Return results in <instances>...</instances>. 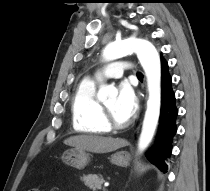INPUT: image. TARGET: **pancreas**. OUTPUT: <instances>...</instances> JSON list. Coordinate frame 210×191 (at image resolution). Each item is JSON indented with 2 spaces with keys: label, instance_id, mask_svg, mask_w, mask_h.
Segmentation results:
<instances>
[{
  "label": "pancreas",
  "instance_id": "1",
  "mask_svg": "<svg viewBox=\"0 0 210 191\" xmlns=\"http://www.w3.org/2000/svg\"><path fill=\"white\" fill-rule=\"evenodd\" d=\"M81 180L84 182L85 186L92 189L93 191L100 190L102 188V184L105 182L102 176L95 174L83 175Z\"/></svg>",
  "mask_w": 210,
  "mask_h": 191
}]
</instances>
